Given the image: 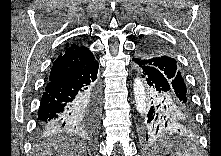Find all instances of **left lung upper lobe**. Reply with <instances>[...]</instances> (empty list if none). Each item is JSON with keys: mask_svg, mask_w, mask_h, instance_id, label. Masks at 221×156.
<instances>
[{"mask_svg": "<svg viewBox=\"0 0 221 156\" xmlns=\"http://www.w3.org/2000/svg\"><path fill=\"white\" fill-rule=\"evenodd\" d=\"M136 59L143 64L170 72L174 76L179 99L183 104L192 108L191 98L187 92L186 84L178 63L171 57L170 52L164 44L155 40L142 43L139 48V55Z\"/></svg>", "mask_w": 221, "mask_h": 156, "instance_id": "5c2ea615", "label": "left lung upper lobe"}]
</instances>
